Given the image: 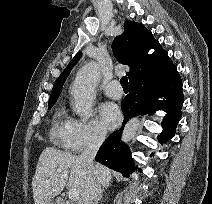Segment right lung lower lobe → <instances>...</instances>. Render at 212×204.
<instances>
[{"label":"right lung lower lobe","instance_id":"right-lung-lower-lobe-1","mask_svg":"<svg viewBox=\"0 0 212 204\" xmlns=\"http://www.w3.org/2000/svg\"><path fill=\"white\" fill-rule=\"evenodd\" d=\"M129 95L121 103L124 123L130 118L150 114L159 109L167 112L163 120V132L158 136L160 143H166L175 134L176 125L181 118L184 101L182 81L175 65L146 74L141 79L129 84ZM164 97L165 101H158ZM123 128L113 132L102 144L96 161L110 169L129 176L137 167L133 164L130 150L120 142ZM153 155V154H151ZM139 171H141L139 169Z\"/></svg>","mask_w":212,"mask_h":204}]
</instances>
